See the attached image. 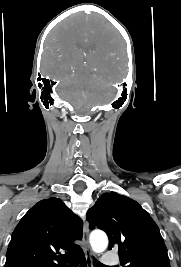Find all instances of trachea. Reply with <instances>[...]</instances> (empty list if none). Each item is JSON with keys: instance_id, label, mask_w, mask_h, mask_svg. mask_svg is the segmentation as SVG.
Segmentation results:
<instances>
[{"instance_id": "3493384b", "label": "trachea", "mask_w": 181, "mask_h": 267, "mask_svg": "<svg viewBox=\"0 0 181 267\" xmlns=\"http://www.w3.org/2000/svg\"><path fill=\"white\" fill-rule=\"evenodd\" d=\"M93 263H94V267H107L105 265H103L102 263H100L97 259H93ZM70 267H77L78 266V263L76 262H71L69 264Z\"/></svg>"}]
</instances>
